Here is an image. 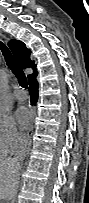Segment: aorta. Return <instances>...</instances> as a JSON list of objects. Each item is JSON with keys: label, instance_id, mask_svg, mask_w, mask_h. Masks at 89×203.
Here are the masks:
<instances>
[{"label": "aorta", "instance_id": "762f6f07", "mask_svg": "<svg viewBox=\"0 0 89 203\" xmlns=\"http://www.w3.org/2000/svg\"><path fill=\"white\" fill-rule=\"evenodd\" d=\"M5 81H6V80H4V82H5ZM1 102H2V107L5 108V107H6V104H7V102H8V97H7V95H6L5 92H3V93L1 94Z\"/></svg>", "mask_w": 89, "mask_h": 203}]
</instances>
